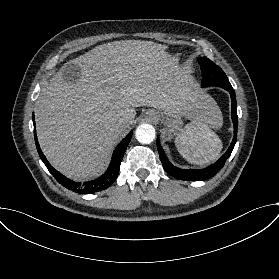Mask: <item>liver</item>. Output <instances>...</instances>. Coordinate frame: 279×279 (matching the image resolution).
I'll list each match as a JSON object with an SVG mask.
<instances>
[{"label":"liver","mask_w":279,"mask_h":279,"mask_svg":"<svg viewBox=\"0 0 279 279\" xmlns=\"http://www.w3.org/2000/svg\"><path fill=\"white\" fill-rule=\"evenodd\" d=\"M166 48L152 41H114L70 61L80 67L76 83L65 82L61 70L54 75L37 101L35 121L40 147L56 170L74 181L101 175L134 123L136 107L202 117L200 90ZM121 119L127 124L118 131Z\"/></svg>","instance_id":"liver-1"}]
</instances>
